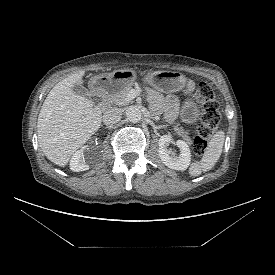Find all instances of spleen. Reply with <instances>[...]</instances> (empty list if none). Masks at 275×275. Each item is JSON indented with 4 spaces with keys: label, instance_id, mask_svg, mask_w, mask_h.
<instances>
[{
    "label": "spleen",
    "instance_id": "1",
    "mask_svg": "<svg viewBox=\"0 0 275 275\" xmlns=\"http://www.w3.org/2000/svg\"><path fill=\"white\" fill-rule=\"evenodd\" d=\"M225 133L218 131L210 140L200 162H194L189 168L191 176H199L202 172L211 170L221 156Z\"/></svg>",
    "mask_w": 275,
    "mask_h": 275
}]
</instances>
